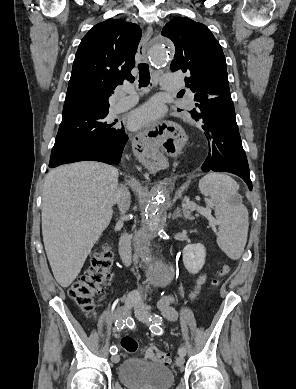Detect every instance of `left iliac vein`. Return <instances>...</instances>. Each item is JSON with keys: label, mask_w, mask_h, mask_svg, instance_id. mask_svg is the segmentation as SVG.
<instances>
[{"label": "left iliac vein", "mask_w": 296, "mask_h": 389, "mask_svg": "<svg viewBox=\"0 0 296 389\" xmlns=\"http://www.w3.org/2000/svg\"><path fill=\"white\" fill-rule=\"evenodd\" d=\"M134 309H135V315L137 319L140 320L141 322L148 323L149 312L147 311L143 302L137 301ZM183 364H184V357L180 355L176 358V365L178 367H181L183 366Z\"/></svg>", "instance_id": "obj_1"}]
</instances>
